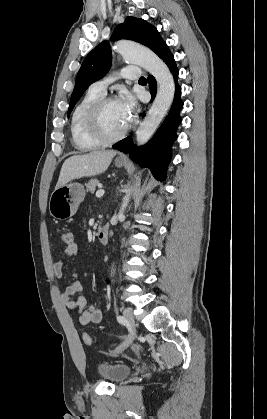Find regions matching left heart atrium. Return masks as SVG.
I'll return each mask as SVG.
<instances>
[{
  "mask_svg": "<svg viewBox=\"0 0 267 419\" xmlns=\"http://www.w3.org/2000/svg\"><path fill=\"white\" fill-rule=\"evenodd\" d=\"M121 109L123 111V114L125 118L130 121L134 115L135 112V99L130 94H125L120 100H119Z\"/></svg>",
  "mask_w": 267,
  "mask_h": 419,
  "instance_id": "left-heart-atrium-1",
  "label": "left heart atrium"
}]
</instances>
